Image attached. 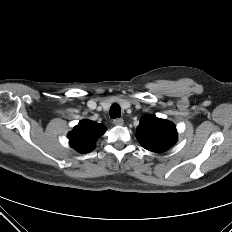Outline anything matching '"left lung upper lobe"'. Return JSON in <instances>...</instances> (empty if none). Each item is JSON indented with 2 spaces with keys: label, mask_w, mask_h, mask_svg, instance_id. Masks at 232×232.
Masks as SVG:
<instances>
[{
  "label": "left lung upper lobe",
  "mask_w": 232,
  "mask_h": 232,
  "mask_svg": "<svg viewBox=\"0 0 232 232\" xmlns=\"http://www.w3.org/2000/svg\"><path fill=\"white\" fill-rule=\"evenodd\" d=\"M136 136L143 148L157 153L166 151L177 140L175 126L153 115L141 118Z\"/></svg>",
  "instance_id": "1"
}]
</instances>
